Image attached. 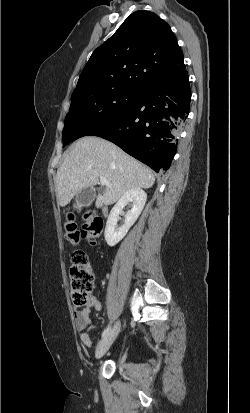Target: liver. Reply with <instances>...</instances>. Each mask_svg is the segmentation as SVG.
Wrapping results in <instances>:
<instances>
[{
    "instance_id": "obj_1",
    "label": "liver",
    "mask_w": 250,
    "mask_h": 413,
    "mask_svg": "<svg viewBox=\"0 0 250 413\" xmlns=\"http://www.w3.org/2000/svg\"><path fill=\"white\" fill-rule=\"evenodd\" d=\"M105 177L106 186L96 199V207L115 203L132 188H151L154 173L115 144L99 137L86 136L77 140L57 170V200L64 207L85 188L98 184Z\"/></svg>"
}]
</instances>
